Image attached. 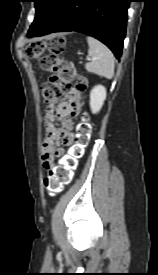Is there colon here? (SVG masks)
Segmentation results:
<instances>
[{
    "label": "colon",
    "instance_id": "colon-1",
    "mask_svg": "<svg viewBox=\"0 0 158 275\" xmlns=\"http://www.w3.org/2000/svg\"><path fill=\"white\" fill-rule=\"evenodd\" d=\"M65 38L56 35L45 41H32L26 46V53L29 57L39 61L43 71L49 73L50 79L42 87V95L47 106L54 104L71 87L70 80L73 76L70 62L62 57L64 51ZM48 51V54H45ZM87 81L82 75L75 77L74 90L84 92ZM91 135V125L86 116L78 125L77 142L69 156L51 168L44 177V188L50 194L61 192L68 185L73 177L77 160L81 157L85 146Z\"/></svg>",
    "mask_w": 158,
    "mask_h": 275
}]
</instances>
